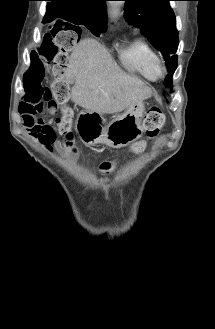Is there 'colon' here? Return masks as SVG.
<instances>
[{
    "label": "colon",
    "instance_id": "5ec220e1",
    "mask_svg": "<svg viewBox=\"0 0 215 329\" xmlns=\"http://www.w3.org/2000/svg\"><path fill=\"white\" fill-rule=\"evenodd\" d=\"M82 25H70V19H51V25L45 26V31H38V38H46L42 46L38 47L32 55L27 56L28 73L53 74H27L24 81L26 91L22 97L20 113L23 116H39L47 114L56 118L55 134L64 138L67 146H72L75 137L72 129L73 112L65 105L68 96V86L64 75L68 65V53L72 49H80L82 42ZM165 122V116L159 107L150 108L143 119V128L148 138L157 137ZM145 141L133 145L135 152H141ZM114 168L113 162L101 165L102 171L108 172Z\"/></svg>",
    "mask_w": 215,
    "mask_h": 329
}]
</instances>
